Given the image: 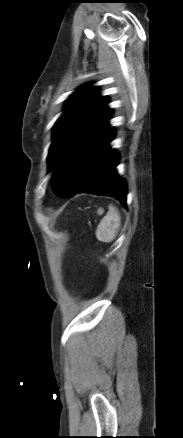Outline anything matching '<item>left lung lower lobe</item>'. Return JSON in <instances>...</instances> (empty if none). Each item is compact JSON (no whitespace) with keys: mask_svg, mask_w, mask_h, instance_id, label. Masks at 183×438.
Masks as SVG:
<instances>
[{"mask_svg":"<svg viewBox=\"0 0 183 438\" xmlns=\"http://www.w3.org/2000/svg\"><path fill=\"white\" fill-rule=\"evenodd\" d=\"M113 137L105 122L64 155L52 173L55 193L64 198L79 192L107 195L126 206V184L116 172L119 156L109 147Z\"/></svg>","mask_w":183,"mask_h":438,"instance_id":"0a47b994","label":"left lung lower lobe"}]
</instances>
